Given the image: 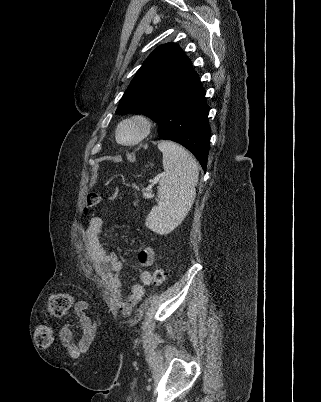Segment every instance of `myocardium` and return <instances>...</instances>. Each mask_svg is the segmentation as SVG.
Masks as SVG:
<instances>
[{
	"label": "myocardium",
	"mask_w": 321,
	"mask_h": 402,
	"mask_svg": "<svg viewBox=\"0 0 321 402\" xmlns=\"http://www.w3.org/2000/svg\"><path fill=\"white\" fill-rule=\"evenodd\" d=\"M126 125H135L139 129L138 135L133 140L127 142L122 141L120 138L121 129ZM152 129H153V122L149 117L142 114H134L122 119L118 123L115 130L116 141L118 144L122 146H128V147L136 146L150 135Z\"/></svg>",
	"instance_id": "obj_1"
}]
</instances>
